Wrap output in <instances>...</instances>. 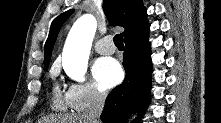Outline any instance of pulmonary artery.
<instances>
[{
  "instance_id": "e3ab8cb5",
  "label": "pulmonary artery",
  "mask_w": 221,
  "mask_h": 123,
  "mask_svg": "<svg viewBox=\"0 0 221 123\" xmlns=\"http://www.w3.org/2000/svg\"><path fill=\"white\" fill-rule=\"evenodd\" d=\"M95 50L104 55L112 54L115 52V46L110 37L100 39L95 43Z\"/></svg>"
}]
</instances>
